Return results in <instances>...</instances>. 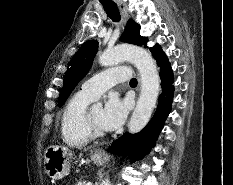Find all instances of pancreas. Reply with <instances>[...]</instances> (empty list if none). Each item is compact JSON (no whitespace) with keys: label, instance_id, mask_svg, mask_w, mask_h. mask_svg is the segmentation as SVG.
<instances>
[{"label":"pancreas","instance_id":"1","mask_svg":"<svg viewBox=\"0 0 233 185\" xmlns=\"http://www.w3.org/2000/svg\"><path fill=\"white\" fill-rule=\"evenodd\" d=\"M75 185H85V182L80 180Z\"/></svg>","mask_w":233,"mask_h":185}]
</instances>
